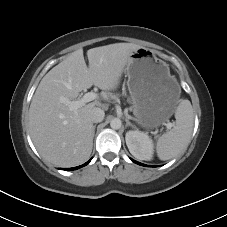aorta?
<instances>
[{
    "instance_id": "aorta-1",
    "label": "aorta",
    "mask_w": 227,
    "mask_h": 227,
    "mask_svg": "<svg viewBox=\"0 0 227 227\" xmlns=\"http://www.w3.org/2000/svg\"><path fill=\"white\" fill-rule=\"evenodd\" d=\"M121 125H122L121 120L118 119V118H114V119H112L111 122H110L111 128H112V129H115V130L120 129V128H121Z\"/></svg>"
}]
</instances>
